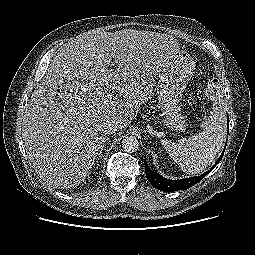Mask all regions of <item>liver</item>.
Instances as JSON below:
<instances>
[{
	"label": "liver",
	"mask_w": 255,
	"mask_h": 255,
	"mask_svg": "<svg viewBox=\"0 0 255 255\" xmlns=\"http://www.w3.org/2000/svg\"><path fill=\"white\" fill-rule=\"evenodd\" d=\"M179 51L171 35L134 29L88 32L63 46L33 91L22 123L28 159L43 182L59 189L84 182L107 123L125 129ZM111 90L122 98L105 103Z\"/></svg>",
	"instance_id": "obj_1"
}]
</instances>
